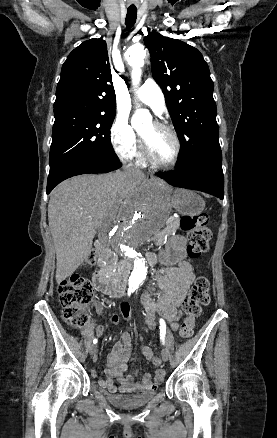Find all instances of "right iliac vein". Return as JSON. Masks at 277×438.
<instances>
[{"instance_id": "right-iliac-vein-1", "label": "right iliac vein", "mask_w": 277, "mask_h": 438, "mask_svg": "<svg viewBox=\"0 0 277 438\" xmlns=\"http://www.w3.org/2000/svg\"><path fill=\"white\" fill-rule=\"evenodd\" d=\"M96 350H97V346H96L95 344H92V345L89 347V353H90L91 355H93V354L96 352Z\"/></svg>"}]
</instances>
